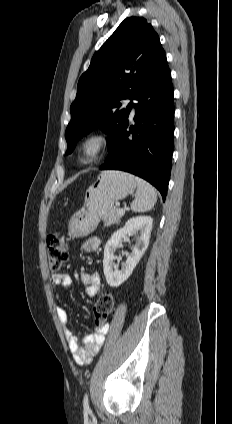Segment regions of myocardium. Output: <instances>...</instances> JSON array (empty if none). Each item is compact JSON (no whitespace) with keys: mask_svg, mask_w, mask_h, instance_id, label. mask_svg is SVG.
I'll return each instance as SVG.
<instances>
[{"mask_svg":"<svg viewBox=\"0 0 232 424\" xmlns=\"http://www.w3.org/2000/svg\"><path fill=\"white\" fill-rule=\"evenodd\" d=\"M109 148L108 136L95 131L84 136L77 147V157L81 164L89 165L98 161Z\"/></svg>","mask_w":232,"mask_h":424,"instance_id":"f54148a6","label":"myocardium"}]
</instances>
